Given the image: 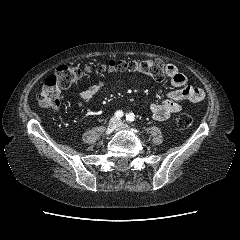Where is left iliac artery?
I'll list each match as a JSON object with an SVG mask.
<instances>
[{"label":"left iliac artery","mask_w":240,"mask_h":240,"mask_svg":"<svg viewBox=\"0 0 240 240\" xmlns=\"http://www.w3.org/2000/svg\"><path fill=\"white\" fill-rule=\"evenodd\" d=\"M134 119H135V115H134L133 113H128V114L126 115V120H127L128 122H133Z\"/></svg>","instance_id":"1"}]
</instances>
